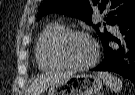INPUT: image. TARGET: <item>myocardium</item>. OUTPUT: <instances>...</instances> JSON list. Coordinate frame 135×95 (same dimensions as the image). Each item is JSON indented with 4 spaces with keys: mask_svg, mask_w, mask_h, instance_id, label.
Listing matches in <instances>:
<instances>
[{
    "mask_svg": "<svg viewBox=\"0 0 135 95\" xmlns=\"http://www.w3.org/2000/svg\"><path fill=\"white\" fill-rule=\"evenodd\" d=\"M72 37H82L90 41L93 47V57L92 59L82 65H73L64 60V58L61 55V49L63 44ZM50 53L53 58V60L62 68L70 69V70H85L90 67H92L98 60L99 57V49L94 40L85 32L79 31V30H65L61 34H59L52 42L50 46Z\"/></svg>",
    "mask_w": 135,
    "mask_h": 95,
    "instance_id": "myocardium-1",
    "label": "myocardium"
}]
</instances>
